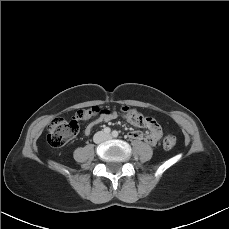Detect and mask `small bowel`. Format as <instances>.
<instances>
[{"mask_svg": "<svg viewBox=\"0 0 229 229\" xmlns=\"http://www.w3.org/2000/svg\"><path fill=\"white\" fill-rule=\"evenodd\" d=\"M116 117L115 112L104 111L99 117L92 123H90L86 129L84 130L85 135H90L95 125L99 123L109 122ZM145 127L148 129L147 133H143L140 131H132L129 133V137L136 140H143L148 144H156L160 134L161 127L158 122L153 117H147L145 122Z\"/></svg>", "mask_w": 229, "mask_h": 229, "instance_id": "small-bowel-1", "label": "small bowel"}]
</instances>
